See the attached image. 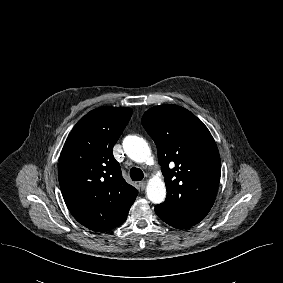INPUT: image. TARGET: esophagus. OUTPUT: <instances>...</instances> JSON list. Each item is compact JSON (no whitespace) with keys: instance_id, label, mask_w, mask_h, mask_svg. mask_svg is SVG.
I'll list each match as a JSON object with an SVG mask.
<instances>
[{"instance_id":"34e87169","label":"esophagus","mask_w":283,"mask_h":283,"mask_svg":"<svg viewBox=\"0 0 283 283\" xmlns=\"http://www.w3.org/2000/svg\"><path fill=\"white\" fill-rule=\"evenodd\" d=\"M145 188H146V182L145 181L140 182L139 183V189L141 191H143V190H145Z\"/></svg>"}]
</instances>
